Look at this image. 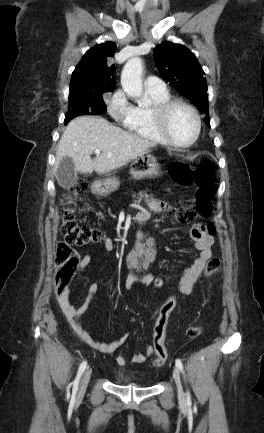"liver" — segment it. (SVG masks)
I'll use <instances>...</instances> for the list:
<instances>
[{"label": "liver", "instance_id": "6515ba94", "mask_svg": "<svg viewBox=\"0 0 264 433\" xmlns=\"http://www.w3.org/2000/svg\"><path fill=\"white\" fill-rule=\"evenodd\" d=\"M155 145L111 125L104 118L80 116L67 125L59 140L54 170L64 157H69L76 172L107 174L146 154ZM95 149H100L101 153L92 160L91 153Z\"/></svg>", "mask_w": 264, "mask_h": 433}]
</instances>
